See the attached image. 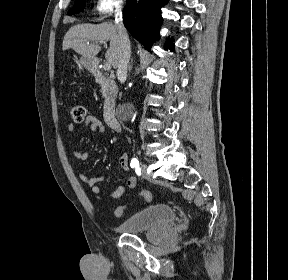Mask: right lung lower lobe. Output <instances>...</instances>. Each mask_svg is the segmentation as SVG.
<instances>
[{
	"label": "right lung lower lobe",
	"instance_id": "1",
	"mask_svg": "<svg viewBox=\"0 0 288 280\" xmlns=\"http://www.w3.org/2000/svg\"><path fill=\"white\" fill-rule=\"evenodd\" d=\"M127 5L123 10V22L132 36L140 41L150 51L156 41L162 23L161 7L168 0H126ZM174 50L172 40L165 46L167 50Z\"/></svg>",
	"mask_w": 288,
	"mask_h": 280
}]
</instances>
